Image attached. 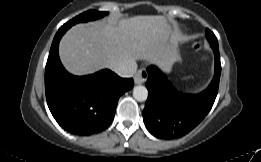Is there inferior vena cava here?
Returning a JSON list of instances; mask_svg holds the SVG:
<instances>
[{
    "instance_id": "inferior-vena-cava-1",
    "label": "inferior vena cava",
    "mask_w": 261,
    "mask_h": 162,
    "mask_svg": "<svg viewBox=\"0 0 261 162\" xmlns=\"http://www.w3.org/2000/svg\"><path fill=\"white\" fill-rule=\"evenodd\" d=\"M112 70L120 77L129 78L136 73L137 64L135 61L129 64H120L115 66Z\"/></svg>"
}]
</instances>
